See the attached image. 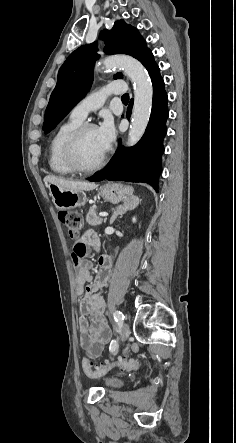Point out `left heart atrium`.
I'll list each match as a JSON object with an SVG mask.
<instances>
[{
    "label": "left heart atrium",
    "instance_id": "39dd6f15",
    "mask_svg": "<svg viewBox=\"0 0 236 443\" xmlns=\"http://www.w3.org/2000/svg\"><path fill=\"white\" fill-rule=\"evenodd\" d=\"M97 130L104 149L108 150L116 135L113 119L106 115Z\"/></svg>",
    "mask_w": 236,
    "mask_h": 443
}]
</instances>
